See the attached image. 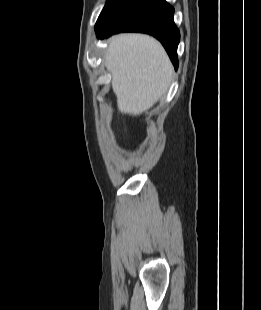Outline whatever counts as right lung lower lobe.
<instances>
[{"instance_id":"obj_1","label":"right lung lower lobe","mask_w":261,"mask_h":310,"mask_svg":"<svg viewBox=\"0 0 261 310\" xmlns=\"http://www.w3.org/2000/svg\"><path fill=\"white\" fill-rule=\"evenodd\" d=\"M174 9L165 0H130L104 26L95 28L98 38L118 32H142L156 37L166 49L175 69L180 33Z\"/></svg>"}]
</instances>
